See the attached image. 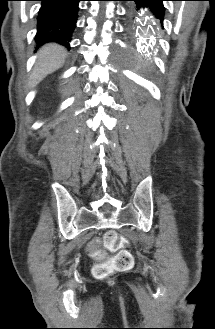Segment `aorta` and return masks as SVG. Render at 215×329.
Masks as SVG:
<instances>
[{
	"label": "aorta",
	"instance_id": "aorta-1",
	"mask_svg": "<svg viewBox=\"0 0 215 329\" xmlns=\"http://www.w3.org/2000/svg\"><path fill=\"white\" fill-rule=\"evenodd\" d=\"M149 21H147V24H146V26H145V28H144V34H143V36L144 37H147V39H149V37H150V35H151V29L149 28ZM148 28V29H147ZM148 41V40H147Z\"/></svg>",
	"mask_w": 215,
	"mask_h": 329
}]
</instances>
